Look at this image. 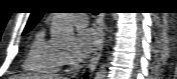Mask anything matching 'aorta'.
Here are the masks:
<instances>
[{
    "instance_id": "obj_1",
    "label": "aorta",
    "mask_w": 177,
    "mask_h": 79,
    "mask_svg": "<svg viewBox=\"0 0 177 79\" xmlns=\"http://www.w3.org/2000/svg\"><path fill=\"white\" fill-rule=\"evenodd\" d=\"M116 19V15L113 14ZM51 38L52 43L57 47L70 46L74 39V29L67 20L66 13H53L51 22ZM107 64L102 63L99 70L95 74V79H106L107 77Z\"/></svg>"
}]
</instances>
